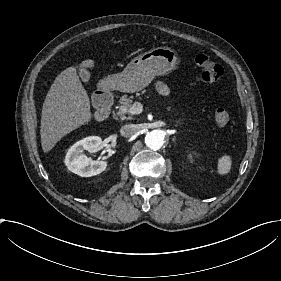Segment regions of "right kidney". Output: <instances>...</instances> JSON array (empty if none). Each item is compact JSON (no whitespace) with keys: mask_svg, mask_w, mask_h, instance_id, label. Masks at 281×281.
Masks as SVG:
<instances>
[{"mask_svg":"<svg viewBox=\"0 0 281 281\" xmlns=\"http://www.w3.org/2000/svg\"><path fill=\"white\" fill-rule=\"evenodd\" d=\"M102 139L98 136H89L77 141L67 151L65 165L67 168L82 177H89L104 171L106 163L100 160L88 158L84 152L93 150L97 152L101 149Z\"/></svg>","mask_w":281,"mask_h":281,"instance_id":"right-kidney-1","label":"right kidney"}]
</instances>
